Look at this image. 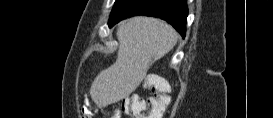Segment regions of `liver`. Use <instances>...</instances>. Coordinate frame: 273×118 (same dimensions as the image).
<instances>
[{
    "label": "liver",
    "instance_id": "obj_1",
    "mask_svg": "<svg viewBox=\"0 0 273 118\" xmlns=\"http://www.w3.org/2000/svg\"><path fill=\"white\" fill-rule=\"evenodd\" d=\"M116 62L94 79L90 95L96 105L106 107L129 96L146 77L149 67L177 43V32L167 23L136 16L117 29Z\"/></svg>",
    "mask_w": 273,
    "mask_h": 118
}]
</instances>
